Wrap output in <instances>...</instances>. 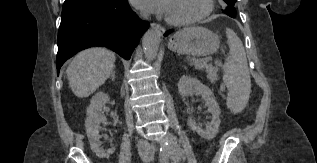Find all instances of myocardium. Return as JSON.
<instances>
[{
  "label": "myocardium",
  "instance_id": "1",
  "mask_svg": "<svg viewBox=\"0 0 317 163\" xmlns=\"http://www.w3.org/2000/svg\"><path fill=\"white\" fill-rule=\"evenodd\" d=\"M204 8L203 10L197 14L194 17H191L189 19H184V20H176V19H172L170 17H166V21L167 23H169L170 25L176 26V27H185V26H190L193 25L195 23L200 22L201 20L207 18L209 15H211V13L214 10L215 7V3L214 0H205L204 1Z\"/></svg>",
  "mask_w": 317,
  "mask_h": 163
}]
</instances>
